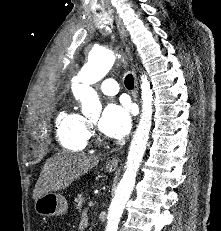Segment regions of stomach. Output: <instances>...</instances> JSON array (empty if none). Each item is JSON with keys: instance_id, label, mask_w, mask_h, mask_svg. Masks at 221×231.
Returning <instances> with one entry per match:
<instances>
[{"instance_id": "0dacf381", "label": "stomach", "mask_w": 221, "mask_h": 231, "mask_svg": "<svg viewBox=\"0 0 221 231\" xmlns=\"http://www.w3.org/2000/svg\"><path fill=\"white\" fill-rule=\"evenodd\" d=\"M108 172H113L114 168H108ZM34 209L42 216H56L67 212L68 203L66 198L58 193H48L35 200Z\"/></svg>"}]
</instances>
